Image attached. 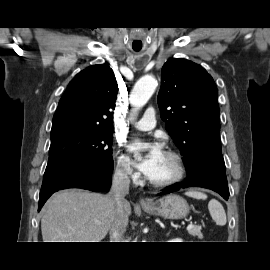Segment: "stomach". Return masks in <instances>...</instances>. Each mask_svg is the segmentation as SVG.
Returning a JSON list of instances; mask_svg holds the SVG:
<instances>
[{"mask_svg":"<svg viewBox=\"0 0 270 270\" xmlns=\"http://www.w3.org/2000/svg\"><path fill=\"white\" fill-rule=\"evenodd\" d=\"M143 210L169 219H182L189 214L190 207L183 197L171 194L156 200L151 206H143Z\"/></svg>","mask_w":270,"mask_h":270,"instance_id":"stomach-1","label":"stomach"}]
</instances>
